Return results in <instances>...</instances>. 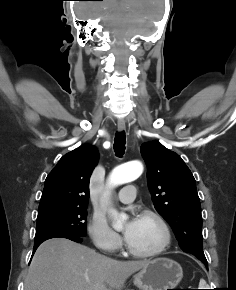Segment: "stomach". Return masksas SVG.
I'll return each instance as SVG.
<instances>
[{"instance_id": "1", "label": "stomach", "mask_w": 236, "mask_h": 290, "mask_svg": "<svg viewBox=\"0 0 236 290\" xmlns=\"http://www.w3.org/2000/svg\"><path fill=\"white\" fill-rule=\"evenodd\" d=\"M183 277L179 263L168 258H157L148 262L133 276L134 284L140 290L175 289Z\"/></svg>"}]
</instances>
